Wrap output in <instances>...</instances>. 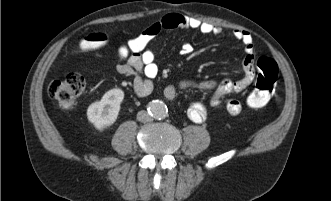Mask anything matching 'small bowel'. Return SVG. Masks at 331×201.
Returning <instances> with one entry per match:
<instances>
[{"instance_id":"obj_1","label":"small bowel","mask_w":331,"mask_h":201,"mask_svg":"<svg viewBox=\"0 0 331 201\" xmlns=\"http://www.w3.org/2000/svg\"><path fill=\"white\" fill-rule=\"evenodd\" d=\"M164 29H191L207 35L222 32L220 26L181 14H168L135 37L121 43L117 48L119 62L116 69L121 75L133 77V90L139 97H146L153 90L152 80L158 73V66L155 63V55L152 50L148 49V45ZM231 34L236 40L242 42L245 48L244 76L241 79L233 81L224 78L219 82L183 81L178 86L170 84L164 89V96L169 101L176 99L178 89L213 90V96L208 103L194 102L188 107L187 115L193 122H204L212 109L223 108L230 115H237L241 112L242 104L238 99L230 98L224 101V97L232 92L241 93L252 84L255 78L254 45L251 34L245 30L235 29ZM190 52V45L183 44L180 54L187 55Z\"/></svg>"}]
</instances>
